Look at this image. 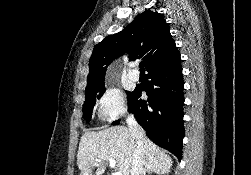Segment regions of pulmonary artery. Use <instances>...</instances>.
Wrapping results in <instances>:
<instances>
[{"label":"pulmonary artery","mask_w":251,"mask_h":175,"mask_svg":"<svg viewBox=\"0 0 251 175\" xmlns=\"http://www.w3.org/2000/svg\"><path fill=\"white\" fill-rule=\"evenodd\" d=\"M133 78L137 80V79H138V76H137V75H135Z\"/></svg>","instance_id":"e3ab8cb5"}]
</instances>
